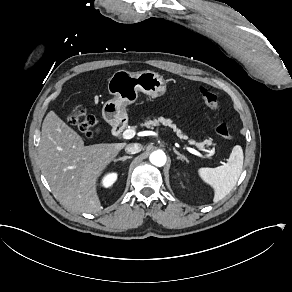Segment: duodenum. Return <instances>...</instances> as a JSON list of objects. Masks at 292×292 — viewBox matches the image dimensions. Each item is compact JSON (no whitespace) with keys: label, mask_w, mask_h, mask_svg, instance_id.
Here are the masks:
<instances>
[{"label":"duodenum","mask_w":292,"mask_h":292,"mask_svg":"<svg viewBox=\"0 0 292 292\" xmlns=\"http://www.w3.org/2000/svg\"><path fill=\"white\" fill-rule=\"evenodd\" d=\"M124 129L125 127L123 126V124H118V125L113 126L112 133L114 136L120 137L122 133L124 132Z\"/></svg>","instance_id":"obj_1"}]
</instances>
